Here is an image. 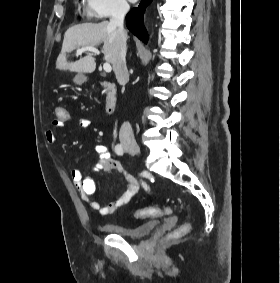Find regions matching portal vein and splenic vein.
I'll list each match as a JSON object with an SVG mask.
<instances>
[{
	"label": "portal vein and splenic vein",
	"mask_w": 280,
	"mask_h": 283,
	"mask_svg": "<svg viewBox=\"0 0 280 283\" xmlns=\"http://www.w3.org/2000/svg\"><path fill=\"white\" fill-rule=\"evenodd\" d=\"M84 51H91V52H93L97 55L100 54V52L95 47H92V46L82 47V48L78 49L77 52L82 53ZM103 69H104L105 72L109 73V72H111L112 67L109 63L106 62V63L103 64Z\"/></svg>",
	"instance_id": "obj_1"
}]
</instances>
